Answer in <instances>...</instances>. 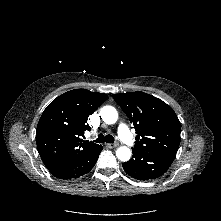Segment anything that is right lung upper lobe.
Segmentation results:
<instances>
[{
	"label": "right lung upper lobe",
	"mask_w": 221,
	"mask_h": 221,
	"mask_svg": "<svg viewBox=\"0 0 221 221\" xmlns=\"http://www.w3.org/2000/svg\"><path fill=\"white\" fill-rule=\"evenodd\" d=\"M106 99V94L74 89L60 95L47 106L37 126L36 143L48 170L97 146L81 140L80 136L90 130L86 124L88 116Z\"/></svg>",
	"instance_id": "right-lung-upper-lobe-1"
}]
</instances>
